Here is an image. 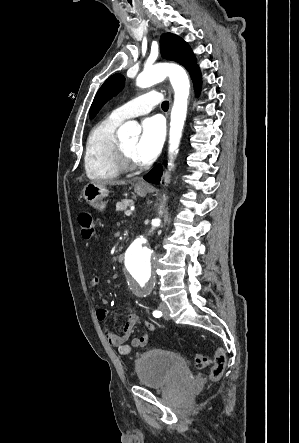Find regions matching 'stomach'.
Instances as JSON below:
<instances>
[{
    "mask_svg": "<svg viewBox=\"0 0 299 443\" xmlns=\"http://www.w3.org/2000/svg\"><path fill=\"white\" fill-rule=\"evenodd\" d=\"M135 192L140 196H145L149 191L148 186H134ZM109 190L106 186L96 185L93 183L87 184L83 189V198L86 202L98 211H104L108 200Z\"/></svg>",
    "mask_w": 299,
    "mask_h": 443,
    "instance_id": "1",
    "label": "stomach"
}]
</instances>
